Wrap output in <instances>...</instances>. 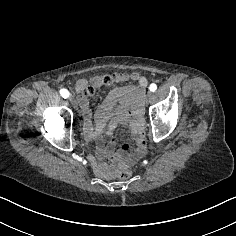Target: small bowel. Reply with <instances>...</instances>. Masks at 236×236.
Masks as SVG:
<instances>
[{
  "label": "small bowel",
  "mask_w": 236,
  "mask_h": 236,
  "mask_svg": "<svg viewBox=\"0 0 236 236\" xmlns=\"http://www.w3.org/2000/svg\"><path fill=\"white\" fill-rule=\"evenodd\" d=\"M114 79L117 82L130 80L137 84L115 88L109 93L94 114L95 129L92 126L93 113L88 99L84 95L88 81L81 79L76 84L86 141L97 142L96 155L90 156L89 160L95 173L104 178L111 177L118 169L134 164L146 152L143 104L147 81L137 72L116 73ZM90 82L98 85L101 83V79L93 78ZM107 122H109L108 126ZM119 126H125L131 131L136 143V148L132 152L128 151V145L115 149L116 142L111 136ZM107 157L110 158L109 163L104 162Z\"/></svg>",
  "instance_id": "c3829d8e"
}]
</instances>
